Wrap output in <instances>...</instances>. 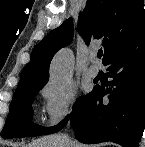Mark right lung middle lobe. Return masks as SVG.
Instances as JSON below:
<instances>
[{
	"mask_svg": "<svg viewBox=\"0 0 145 147\" xmlns=\"http://www.w3.org/2000/svg\"><path fill=\"white\" fill-rule=\"evenodd\" d=\"M43 87L33 86L15 91L5 126L1 132L3 138L34 137L56 133L67 125L68 120L79 111L90 95L89 93L78 98L73 105L71 115L65 117L58 125L42 127L32 122L33 110L31 106L35 96Z\"/></svg>",
	"mask_w": 145,
	"mask_h": 147,
	"instance_id": "1",
	"label": "right lung middle lobe"
}]
</instances>
